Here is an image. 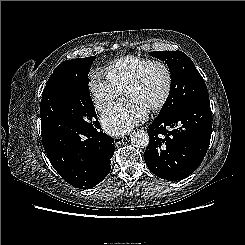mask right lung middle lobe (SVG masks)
<instances>
[{
	"instance_id": "1",
	"label": "right lung middle lobe",
	"mask_w": 245,
	"mask_h": 245,
	"mask_svg": "<svg viewBox=\"0 0 245 245\" xmlns=\"http://www.w3.org/2000/svg\"><path fill=\"white\" fill-rule=\"evenodd\" d=\"M95 56L67 60L51 74L40 104L41 127H90L97 115L89 92L88 74ZM45 99V101H44Z\"/></svg>"
}]
</instances>
